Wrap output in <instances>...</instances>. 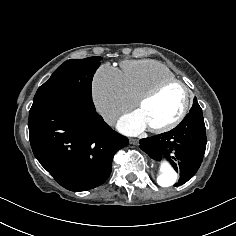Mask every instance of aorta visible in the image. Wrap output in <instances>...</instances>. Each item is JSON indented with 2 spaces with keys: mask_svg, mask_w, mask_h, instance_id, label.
Here are the masks:
<instances>
[{
  "mask_svg": "<svg viewBox=\"0 0 236 236\" xmlns=\"http://www.w3.org/2000/svg\"><path fill=\"white\" fill-rule=\"evenodd\" d=\"M177 173L168 162L160 164V170L157 176V183L162 187H169L176 183Z\"/></svg>",
  "mask_w": 236,
  "mask_h": 236,
  "instance_id": "obj_1",
  "label": "aorta"
}]
</instances>
